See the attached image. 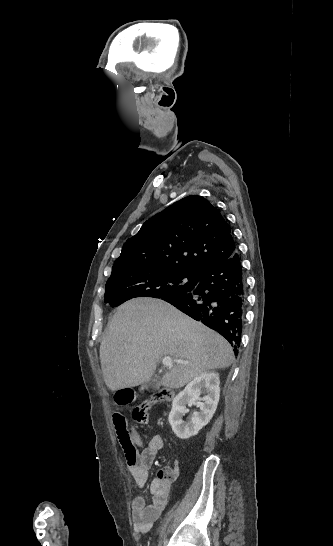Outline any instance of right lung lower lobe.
Masks as SVG:
<instances>
[{"label":"right lung lower lobe","mask_w":333,"mask_h":546,"mask_svg":"<svg viewBox=\"0 0 333 546\" xmlns=\"http://www.w3.org/2000/svg\"><path fill=\"white\" fill-rule=\"evenodd\" d=\"M164 301L220 333L237 355L245 316V279L237 251L198 275L186 294L164 296Z\"/></svg>","instance_id":"obj_1"}]
</instances>
